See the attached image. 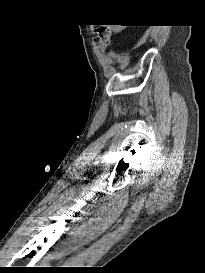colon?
<instances>
[{
	"label": "colon",
	"mask_w": 205,
	"mask_h": 273,
	"mask_svg": "<svg viewBox=\"0 0 205 273\" xmlns=\"http://www.w3.org/2000/svg\"><path fill=\"white\" fill-rule=\"evenodd\" d=\"M111 42V33L106 28H100L98 32V43L102 50H104Z\"/></svg>",
	"instance_id": "obj_1"
}]
</instances>
